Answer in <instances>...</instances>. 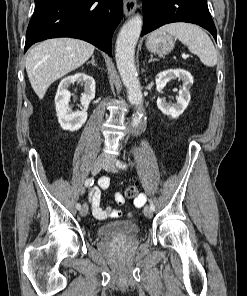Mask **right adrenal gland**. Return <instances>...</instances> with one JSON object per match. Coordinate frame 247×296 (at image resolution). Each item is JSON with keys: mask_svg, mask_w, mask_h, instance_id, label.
Returning a JSON list of instances; mask_svg holds the SVG:
<instances>
[{"mask_svg": "<svg viewBox=\"0 0 247 296\" xmlns=\"http://www.w3.org/2000/svg\"><path fill=\"white\" fill-rule=\"evenodd\" d=\"M90 63L94 66H97V64L95 63V60H94V56H92L91 61H89L87 64H90Z\"/></svg>", "mask_w": 247, "mask_h": 296, "instance_id": "right-adrenal-gland-1", "label": "right adrenal gland"}]
</instances>
